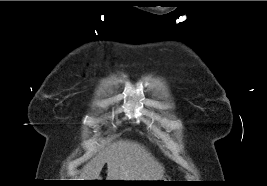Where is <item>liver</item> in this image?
Masks as SVG:
<instances>
[{
	"mask_svg": "<svg viewBox=\"0 0 267 186\" xmlns=\"http://www.w3.org/2000/svg\"><path fill=\"white\" fill-rule=\"evenodd\" d=\"M107 163V180L157 181L164 167L139 143L120 140L102 149L84 167L82 180H98Z\"/></svg>",
	"mask_w": 267,
	"mask_h": 186,
	"instance_id": "liver-1",
	"label": "liver"
}]
</instances>
